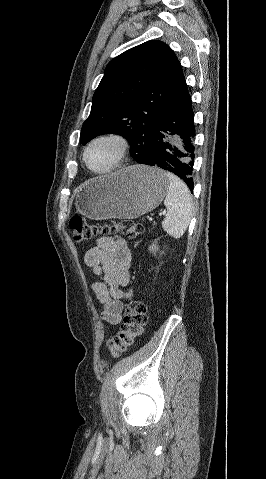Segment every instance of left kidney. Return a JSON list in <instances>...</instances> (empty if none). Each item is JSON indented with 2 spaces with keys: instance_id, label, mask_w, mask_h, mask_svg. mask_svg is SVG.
<instances>
[{
  "instance_id": "5707ae66",
  "label": "left kidney",
  "mask_w": 266,
  "mask_h": 479,
  "mask_svg": "<svg viewBox=\"0 0 266 479\" xmlns=\"http://www.w3.org/2000/svg\"><path fill=\"white\" fill-rule=\"evenodd\" d=\"M149 250L150 251L152 250L153 252L154 251L156 252V250H158V247L155 244H153L152 246L149 247Z\"/></svg>"
}]
</instances>
